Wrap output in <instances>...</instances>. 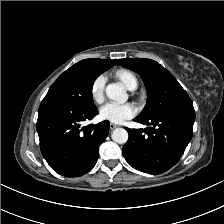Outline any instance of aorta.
Here are the masks:
<instances>
[{"instance_id": "obj_1", "label": "aorta", "mask_w": 224, "mask_h": 224, "mask_svg": "<svg viewBox=\"0 0 224 224\" xmlns=\"http://www.w3.org/2000/svg\"><path fill=\"white\" fill-rule=\"evenodd\" d=\"M106 95L109 99L126 102L128 95L125 91V88L120 83H111L106 87ZM112 140L118 144H125L128 140V132L124 128H116L112 132Z\"/></svg>"}]
</instances>
